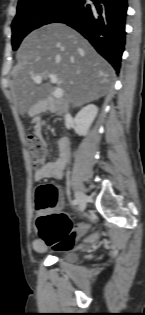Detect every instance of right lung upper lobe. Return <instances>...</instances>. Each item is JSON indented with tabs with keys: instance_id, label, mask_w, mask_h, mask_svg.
<instances>
[{
	"instance_id": "cb5924a9",
	"label": "right lung upper lobe",
	"mask_w": 145,
	"mask_h": 315,
	"mask_svg": "<svg viewBox=\"0 0 145 315\" xmlns=\"http://www.w3.org/2000/svg\"><path fill=\"white\" fill-rule=\"evenodd\" d=\"M22 1H26V0H19V2H22ZM19 2H18V3H19Z\"/></svg>"
}]
</instances>
